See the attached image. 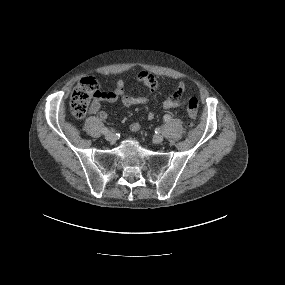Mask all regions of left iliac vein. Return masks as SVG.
Returning <instances> with one entry per match:
<instances>
[{"instance_id":"4c4485c4","label":"left iliac vein","mask_w":285,"mask_h":285,"mask_svg":"<svg viewBox=\"0 0 285 285\" xmlns=\"http://www.w3.org/2000/svg\"><path fill=\"white\" fill-rule=\"evenodd\" d=\"M163 140H164V137L162 135H160V134L154 135V137H153V141L156 144L162 143Z\"/></svg>"}]
</instances>
